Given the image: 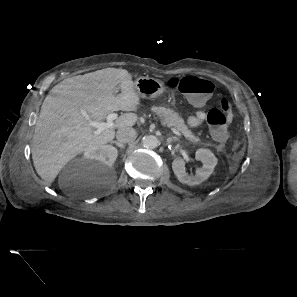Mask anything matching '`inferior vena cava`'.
Returning a JSON list of instances; mask_svg holds the SVG:
<instances>
[{
  "label": "inferior vena cava",
  "instance_id": "602c4592",
  "mask_svg": "<svg viewBox=\"0 0 297 297\" xmlns=\"http://www.w3.org/2000/svg\"><path fill=\"white\" fill-rule=\"evenodd\" d=\"M136 137H137V133L131 127L118 130L116 134V138L120 143L132 142L136 139Z\"/></svg>",
  "mask_w": 297,
  "mask_h": 297
}]
</instances>
